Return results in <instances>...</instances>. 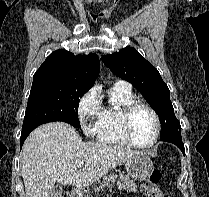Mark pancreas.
I'll list each match as a JSON object with an SVG mask.
<instances>
[{"mask_svg": "<svg viewBox=\"0 0 209 197\" xmlns=\"http://www.w3.org/2000/svg\"><path fill=\"white\" fill-rule=\"evenodd\" d=\"M117 179V174L112 173L108 176H104L102 181H99V187L94 188L95 192L98 193L101 188L104 186L112 187V183H114ZM117 185L120 189H124L128 192H136L137 185L135 182L130 179L128 175L122 176L118 179Z\"/></svg>", "mask_w": 209, "mask_h": 197, "instance_id": "1", "label": "pancreas"}]
</instances>
